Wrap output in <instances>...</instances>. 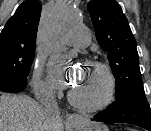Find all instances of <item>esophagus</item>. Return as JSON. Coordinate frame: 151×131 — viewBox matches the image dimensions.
<instances>
[{
  "label": "esophagus",
  "mask_w": 151,
  "mask_h": 131,
  "mask_svg": "<svg viewBox=\"0 0 151 131\" xmlns=\"http://www.w3.org/2000/svg\"><path fill=\"white\" fill-rule=\"evenodd\" d=\"M66 120L71 124H75L81 120V117L78 114L73 113L67 115Z\"/></svg>",
  "instance_id": "1"
}]
</instances>
